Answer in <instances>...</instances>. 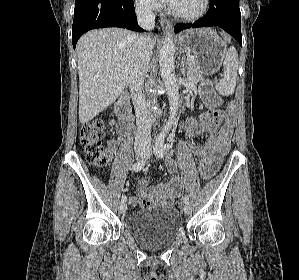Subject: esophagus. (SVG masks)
<instances>
[{"mask_svg":"<svg viewBox=\"0 0 299 280\" xmlns=\"http://www.w3.org/2000/svg\"><path fill=\"white\" fill-rule=\"evenodd\" d=\"M160 24H161V27L164 31L172 30V23L169 20L162 18L160 20Z\"/></svg>","mask_w":299,"mask_h":280,"instance_id":"obj_1","label":"esophagus"}]
</instances>
